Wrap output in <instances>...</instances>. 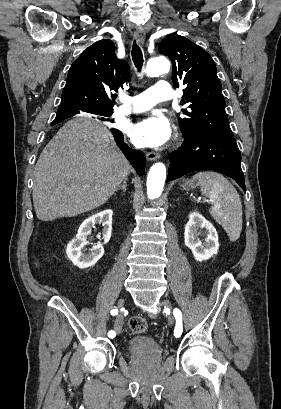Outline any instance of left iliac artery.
<instances>
[{
  "label": "left iliac artery",
  "mask_w": 281,
  "mask_h": 409,
  "mask_svg": "<svg viewBox=\"0 0 281 409\" xmlns=\"http://www.w3.org/2000/svg\"><path fill=\"white\" fill-rule=\"evenodd\" d=\"M174 317L176 319V327L174 329V335L175 337H180L182 334V314L179 309H174L173 311Z\"/></svg>",
  "instance_id": "left-iliac-artery-1"
}]
</instances>
